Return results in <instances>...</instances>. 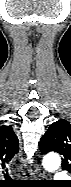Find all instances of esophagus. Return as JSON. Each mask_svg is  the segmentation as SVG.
I'll use <instances>...</instances> for the list:
<instances>
[{
	"instance_id": "34e87169",
	"label": "esophagus",
	"mask_w": 71,
	"mask_h": 187,
	"mask_svg": "<svg viewBox=\"0 0 71 187\" xmlns=\"http://www.w3.org/2000/svg\"><path fill=\"white\" fill-rule=\"evenodd\" d=\"M34 176L36 178H44L45 177V172L42 170L41 167H39L38 165L35 167L34 170Z\"/></svg>"
}]
</instances>
